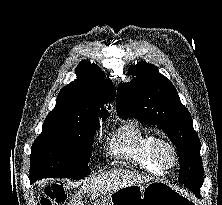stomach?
<instances>
[{
    "instance_id": "obj_1",
    "label": "stomach",
    "mask_w": 222,
    "mask_h": 205,
    "mask_svg": "<svg viewBox=\"0 0 222 205\" xmlns=\"http://www.w3.org/2000/svg\"><path fill=\"white\" fill-rule=\"evenodd\" d=\"M93 205H197L196 200L163 181L131 185L101 196Z\"/></svg>"
}]
</instances>
